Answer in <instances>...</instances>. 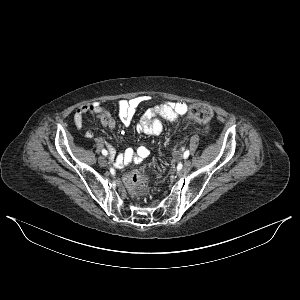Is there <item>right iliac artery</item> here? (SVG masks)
<instances>
[{
	"label": "right iliac artery",
	"instance_id": "82829eb1",
	"mask_svg": "<svg viewBox=\"0 0 300 300\" xmlns=\"http://www.w3.org/2000/svg\"><path fill=\"white\" fill-rule=\"evenodd\" d=\"M102 154H103L104 156H107V155H108L107 150L103 149V150H102Z\"/></svg>",
	"mask_w": 300,
	"mask_h": 300
}]
</instances>
